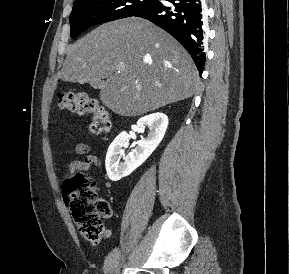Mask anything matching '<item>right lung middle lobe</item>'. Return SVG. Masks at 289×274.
<instances>
[{
  "label": "right lung middle lobe",
  "instance_id": "right-lung-middle-lobe-1",
  "mask_svg": "<svg viewBox=\"0 0 289 274\" xmlns=\"http://www.w3.org/2000/svg\"><path fill=\"white\" fill-rule=\"evenodd\" d=\"M155 0H75L70 15L71 36L76 38L90 26L135 16Z\"/></svg>",
  "mask_w": 289,
  "mask_h": 274
}]
</instances>
